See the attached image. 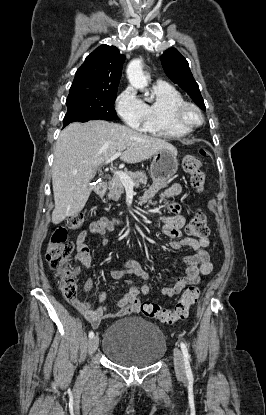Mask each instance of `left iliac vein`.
Wrapping results in <instances>:
<instances>
[{
	"mask_svg": "<svg viewBox=\"0 0 266 415\" xmlns=\"http://www.w3.org/2000/svg\"><path fill=\"white\" fill-rule=\"evenodd\" d=\"M174 365L176 373L180 376L184 375L185 367H184V358L181 351L178 348L174 349Z\"/></svg>",
	"mask_w": 266,
	"mask_h": 415,
	"instance_id": "obj_1",
	"label": "left iliac vein"
}]
</instances>
